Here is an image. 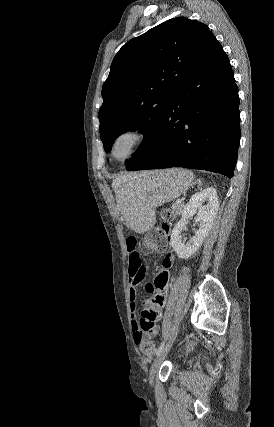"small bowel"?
Masks as SVG:
<instances>
[{"instance_id": "obj_1", "label": "small bowel", "mask_w": 274, "mask_h": 427, "mask_svg": "<svg viewBox=\"0 0 274 427\" xmlns=\"http://www.w3.org/2000/svg\"><path fill=\"white\" fill-rule=\"evenodd\" d=\"M126 250L130 254L129 256V277H130V308L132 313V327L134 331V342L137 345L143 343L144 338H151L152 336H159L160 329L156 324V320H163L164 318V302L155 301L157 298H163L167 295L168 288L167 284H172L174 278L172 275H169L168 269L174 263L175 257L173 254H169L162 266V269H157L155 271L154 280H147L146 287L147 292L151 295H142L141 305L142 310H152V311H141L139 314L138 322L135 320V313L138 308V294L136 287L141 282V280L146 276V271L148 269V263L145 261L144 264H140L142 258L139 254L133 253L136 250V247L133 244H129L126 247ZM161 254H164V251H161ZM132 261V262H131ZM138 323V324H137ZM143 327V333L140 331L139 327Z\"/></svg>"}]
</instances>
